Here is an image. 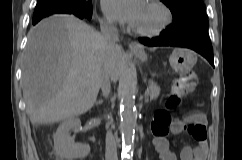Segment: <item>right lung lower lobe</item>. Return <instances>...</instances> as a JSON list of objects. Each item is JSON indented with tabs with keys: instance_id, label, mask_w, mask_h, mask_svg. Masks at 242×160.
Returning a JSON list of instances; mask_svg holds the SVG:
<instances>
[{
	"instance_id": "1",
	"label": "right lung lower lobe",
	"mask_w": 242,
	"mask_h": 160,
	"mask_svg": "<svg viewBox=\"0 0 242 160\" xmlns=\"http://www.w3.org/2000/svg\"><path fill=\"white\" fill-rule=\"evenodd\" d=\"M54 14H68V15H71V16H76L80 19H88L90 20L91 17H92V12L91 13H86V14H80V13H51L47 16H50V15H54ZM47 16H43V17H39V18H35L32 20V24L35 25L36 23H38L42 18L44 17H47Z\"/></svg>"
}]
</instances>
